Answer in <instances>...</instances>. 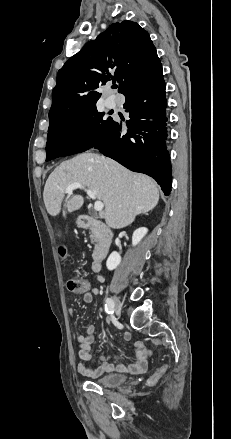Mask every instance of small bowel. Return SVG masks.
<instances>
[{"mask_svg":"<svg viewBox=\"0 0 231 439\" xmlns=\"http://www.w3.org/2000/svg\"><path fill=\"white\" fill-rule=\"evenodd\" d=\"M99 282H104V278L97 275ZM100 293L98 288H88L83 292V300L85 303H91L96 296ZM69 314L71 317L74 315L73 308H69ZM95 327L93 325H88L85 334H78L76 336V342L79 346V358L82 360L78 365V371L85 376L98 377L104 373H110L114 371L118 372H131V373H142L148 367L147 360V349L142 342H135V360L129 365L119 364L114 366L113 364L107 362L105 357L102 356V362L98 366H90L86 362L91 359V346L94 341ZM131 335L128 332L124 333V340L129 341Z\"/></svg>","mask_w":231,"mask_h":439,"instance_id":"1","label":"small bowel"}]
</instances>
